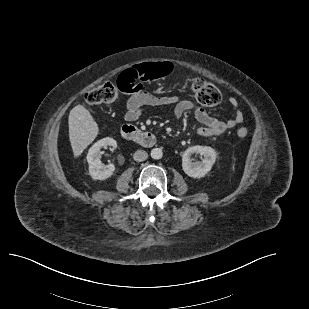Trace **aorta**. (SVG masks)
I'll return each instance as SVG.
<instances>
[{
  "label": "aorta",
  "mask_w": 309,
  "mask_h": 309,
  "mask_svg": "<svg viewBox=\"0 0 309 309\" xmlns=\"http://www.w3.org/2000/svg\"><path fill=\"white\" fill-rule=\"evenodd\" d=\"M162 156H163V152H162V149H161V148H153V149L151 150V157H152L153 159L158 160V159H161Z\"/></svg>",
  "instance_id": "762f6f07"
}]
</instances>
